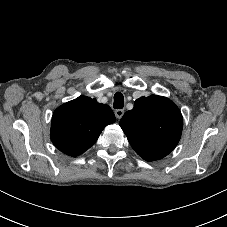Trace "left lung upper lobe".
I'll list each match as a JSON object with an SVG mask.
<instances>
[{
    "label": "left lung upper lobe",
    "mask_w": 227,
    "mask_h": 227,
    "mask_svg": "<svg viewBox=\"0 0 227 227\" xmlns=\"http://www.w3.org/2000/svg\"><path fill=\"white\" fill-rule=\"evenodd\" d=\"M119 125L135 152L146 161H155L167 156L178 144L183 118L170 99L151 95L137 99Z\"/></svg>",
    "instance_id": "left-lung-upper-lobe-1"
}]
</instances>
